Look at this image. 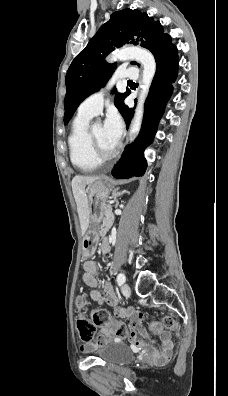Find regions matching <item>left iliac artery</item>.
<instances>
[{
  "label": "left iliac artery",
  "instance_id": "left-iliac-artery-1",
  "mask_svg": "<svg viewBox=\"0 0 228 396\" xmlns=\"http://www.w3.org/2000/svg\"><path fill=\"white\" fill-rule=\"evenodd\" d=\"M126 280V277L124 275V273H119L117 276V283L119 286H121Z\"/></svg>",
  "mask_w": 228,
  "mask_h": 396
}]
</instances>
